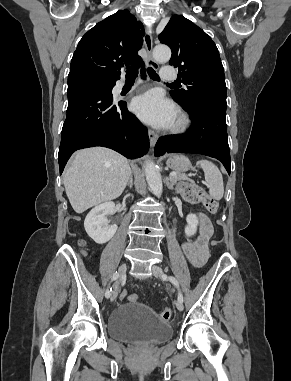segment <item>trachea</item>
I'll return each mask as SVG.
<instances>
[{
  "mask_svg": "<svg viewBox=\"0 0 291 381\" xmlns=\"http://www.w3.org/2000/svg\"><path fill=\"white\" fill-rule=\"evenodd\" d=\"M148 75L152 80L160 81L159 75L151 68L149 67L147 69ZM138 76V69L136 67H128L126 70V77L128 78H136ZM175 84V83H173Z\"/></svg>",
  "mask_w": 291,
  "mask_h": 381,
  "instance_id": "trachea-1",
  "label": "trachea"
}]
</instances>
